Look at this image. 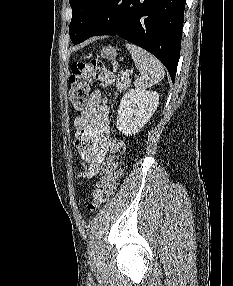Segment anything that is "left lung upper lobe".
Here are the masks:
<instances>
[{
  "instance_id": "obj_1",
  "label": "left lung upper lobe",
  "mask_w": 233,
  "mask_h": 286,
  "mask_svg": "<svg viewBox=\"0 0 233 286\" xmlns=\"http://www.w3.org/2000/svg\"><path fill=\"white\" fill-rule=\"evenodd\" d=\"M105 0H69L72 20L69 34L74 43L87 29Z\"/></svg>"
}]
</instances>
